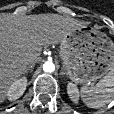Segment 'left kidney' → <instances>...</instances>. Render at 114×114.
<instances>
[{"mask_svg": "<svg viewBox=\"0 0 114 114\" xmlns=\"http://www.w3.org/2000/svg\"><path fill=\"white\" fill-rule=\"evenodd\" d=\"M67 93L70 97V99L74 102V103H78L79 100V90L77 88V86L71 82H69L67 84Z\"/></svg>", "mask_w": 114, "mask_h": 114, "instance_id": "obj_1", "label": "left kidney"}]
</instances>
